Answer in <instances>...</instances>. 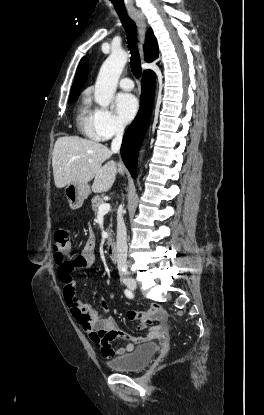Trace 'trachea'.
<instances>
[{
	"label": "trachea",
	"mask_w": 264,
	"mask_h": 415,
	"mask_svg": "<svg viewBox=\"0 0 264 415\" xmlns=\"http://www.w3.org/2000/svg\"><path fill=\"white\" fill-rule=\"evenodd\" d=\"M118 16L120 17L121 23L127 33V42L128 47L130 50V67L132 73L137 77H141L142 75V68H141V61L139 52L137 49V27L133 20L128 16L126 12L121 13L117 12Z\"/></svg>",
	"instance_id": "trachea-1"
}]
</instances>
